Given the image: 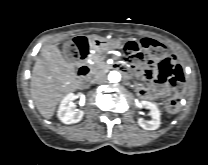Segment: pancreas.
Here are the masks:
<instances>
[{
	"mask_svg": "<svg viewBox=\"0 0 208 165\" xmlns=\"http://www.w3.org/2000/svg\"><path fill=\"white\" fill-rule=\"evenodd\" d=\"M94 64L90 66V73L93 75H97L102 71L108 69V66L103 62V57L99 55L93 56Z\"/></svg>",
	"mask_w": 208,
	"mask_h": 165,
	"instance_id": "pancreas-1",
	"label": "pancreas"
}]
</instances>
